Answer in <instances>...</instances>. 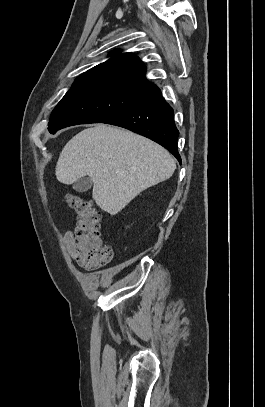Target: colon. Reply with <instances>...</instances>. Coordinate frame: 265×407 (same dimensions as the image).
Here are the masks:
<instances>
[{"instance_id": "colon-1", "label": "colon", "mask_w": 265, "mask_h": 407, "mask_svg": "<svg viewBox=\"0 0 265 407\" xmlns=\"http://www.w3.org/2000/svg\"><path fill=\"white\" fill-rule=\"evenodd\" d=\"M65 200L78 214L74 236L77 263L90 270L110 264L114 252L102 242L100 212L81 195L67 194Z\"/></svg>"}]
</instances>
